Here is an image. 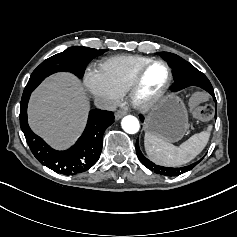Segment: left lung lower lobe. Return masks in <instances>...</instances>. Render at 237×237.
<instances>
[{
	"instance_id": "left-lung-lower-lobe-1",
	"label": "left lung lower lobe",
	"mask_w": 237,
	"mask_h": 237,
	"mask_svg": "<svg viewBox=\"0 0 237 237\" xmlns=\"http://www.w3.org/2000/svg\"><path fill=\"white\" fill-rule=\"evenodd\" d=\"M208 92L213 96V99H214V101L216 103V98L214 96V90L213 89H209ZM216 105H217V103H216ZM140 117H143V116H140ZM215 119H216V114H215Z\"/></svg>"
}]
</instances>
